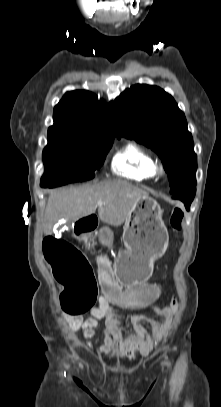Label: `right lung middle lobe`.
Masks as SVG:
<instances>
[{
    "mask_svg": "<svg viewBox=\"0 0 221 407\" xmlns=\"http://www.w3.org/2000/svg\"><path fill=\"white\" fill-rule=\"evenodd\" d=\"M113 142L100 143L69 138L48 137L43 151L45 166L42 187H57L92 179Z\"/></svg>",
    "mask_w": 221,
    "mask_h": 407,
    "instance_id": "1",
    "label": "right lung middle lobe"
}]
</instances>
